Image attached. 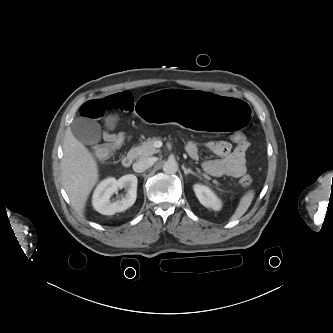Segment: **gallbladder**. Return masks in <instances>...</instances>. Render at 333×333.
<instances>
[{"label": "gallbladder", "instance_id": "gallbladder-1", "mask_svg": "<svg viewBox=\"0 0 333 333\" xmlns=\"http://www.w3.org/2000/svg\"><path fill=\"white\" fill-rule=\"evenodd\" d=\"M72 134L85 145L97 143L101 138L100 125L87 117H78L71 125Z\"/></svg>", "mask_w": 333, "mask_h": 333}]
</instances>
